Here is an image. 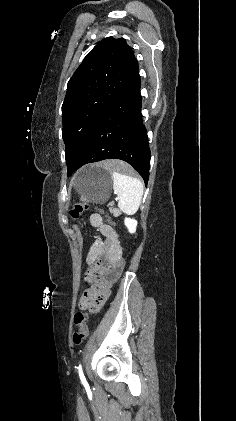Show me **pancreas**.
Instances as JSON below:
<instances>
[{
    "mask_svg": "<svg viewBox=\"0 0 236 421\" xmlns=\"http://www.w3.org/2000/svg\"><path fill=\"white\" fill-rule=\"evenodd\" d=\"M109 211L112 213L113 217H119L120 215V211H118V208H113V204H111Z\"/></svg>",
    "mask_w": 236,
    "mask_h": 421,
    "instance_id": "obj_1",
    "label": "pancreas"
}]
</instances>
